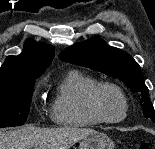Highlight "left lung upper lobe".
Returning a JSON list of instances; mask_svg holds the SVG:
<instances>
[{
    "label": "left lung upper lobe",
    "instance_id": "obj_1",
    "mask_svg": "<svg viewBox=\"0 0 155 149\" xmlns=\"http://www.w3.org/2000/svg\"><path fill=\"white\" fill-rule=\"evenodd\" d=\"M59 58L64 62L89 67L120 79L132 92L140 96L144 117L155 123V110L140 66L125 51L106 45L100 37H93L66 48L60 53Z\"/></svg>",
    "mask_w": 155,
    "mask_h": 149
}]
</instances>
